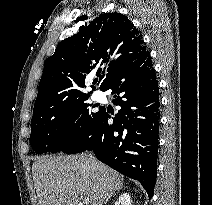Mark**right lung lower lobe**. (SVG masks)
<instances>
[{"label": "right lung lower lobe", "mask_w": 212, "mask_h": 205, "mask_svg": "<svg viewBox=\"0 0 212 205\" xmlns=\"http://www.w3.org/2000/svg\"><path fill=\"white\" fill-rule=\"evenodd\" d=\"M109 89L121 107L113 124L102 109L92 127L61 151H93L101 162L138 180L150 199L157 176L160 93L149 51L121 68L103 91Z\"/></svg>", "instance_id": "obj_1"}]
</instances>
